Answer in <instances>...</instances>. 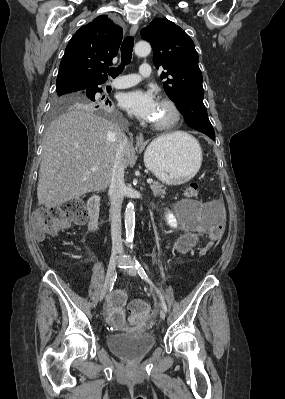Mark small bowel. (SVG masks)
<instances>
[{
  "mask_svg": "<svg viewBox=\"0 0 285 399\" xmlns=\"http://www.w3.org/2000/svg\"><path fill=\"white\" fill-rule=\"evenodd\" d=\"M180 217H167L166 221L173 230L180 229L185 233L178 241L177 248L180 252L187 251L194 246L200 235L212 236L216 231L223 234V215L220 212V201L212 200L203 206L191 204ZM126 293L122 290L113 291L107 301L103 314L110 326L117 330L126 329L125 304ZM141 319L134 320V325H139Z\"/></svg>",
  "mask_w": 285,
  "mask_h": 399,
  "instance_id": "obj_1",
  "label": "small bowel"
}]
</instances>
